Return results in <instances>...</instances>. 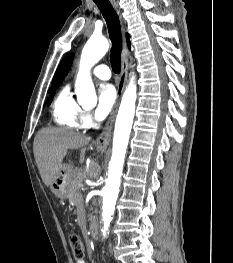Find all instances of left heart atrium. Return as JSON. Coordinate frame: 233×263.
Returning a JSON list of instances; mask_svg holds the SVG:
<instances>
[{"instance_id": "left-heart-atrium-1", "label": "left heart atrium", "mask_w": 233, "mask_h": 263, "mask_svg": "<svg viewBox=\"0 0 233 263\" xmlns=\"http://www.w3.org/2000/svg\"><path fill=\"white\" fill-rule=\"evenodd\" d=\"M115 102V88L110 84L102 85L99 89L98 104L94 113L95 118L99 121L105 119L113 109Z\"/></svg>"}]
</instances>
